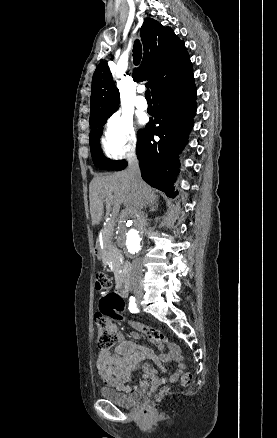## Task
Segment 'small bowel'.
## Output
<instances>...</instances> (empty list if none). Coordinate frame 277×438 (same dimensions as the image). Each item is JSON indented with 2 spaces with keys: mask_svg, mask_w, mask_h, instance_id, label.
Masks as SVG:
<instances>
[{
  "mask_svg": "<svg viewBox=\"0 0 277 438\" xmlns=\"http://www.w3.org/2000/svg\"><path fill=\"white\" fill-rule=\"evenodd\" d=\"M130 324L132 326L136 325L134 322ZM108 330L116 335L117 345L112 353L101 351L96 361L98 376L105 384L119 390H127L126 383L131 379L132 372L145 357H151L159 363L175 361L178 368L172 375V380H177L183 374L185 370L184 359L177 345H171L168 353L157 356L151 348L139 345L134 341L139 338L137 333H132L131 338L133 340H129L125 338L116 324L110 325ZM163 347L164 344L161 341L154 343L155 349L161 350ZM144 366L145 373L141 384H144L148 378L157 379L150 368L151 361L145 360Z\"/></svg>",
  "mask_w": 277,
  "mask_h": 438,
  "instance_id": "obj_1",
  "label": "small bowel"
}]
</instances>
